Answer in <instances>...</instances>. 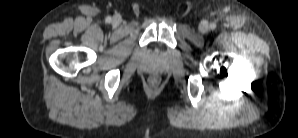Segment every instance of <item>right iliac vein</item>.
Wrapping results in <instances>:
<instances>
[{
	"label": "right iliac vein",
	"mask_w": 298,
	"mask_h": 138,
	"mask_svg": "<svg viewBox=\"0 0 298 138\" xmlns=\"http://www.w3.org/2000/svg\"><path fill=\"white\" fill-rule=\"evenodd\" d=\"M121 23V17L119 15H115L112 19V24L114 26H118Z\"/></svg>",
	"instance_id": "right-iliac-vein-1"
}]
</instances>
